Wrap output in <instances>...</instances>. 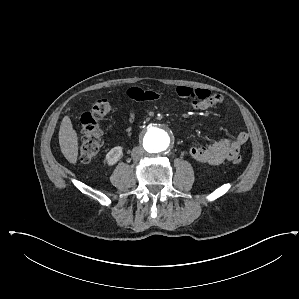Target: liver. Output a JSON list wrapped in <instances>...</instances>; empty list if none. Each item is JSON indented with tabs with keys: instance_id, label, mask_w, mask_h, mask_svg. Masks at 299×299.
I'll list each match as a JSON object with an SVG mask.
<instances>
[{
	"instance_id": "6515ba94",
	"label": "liver",
	"mask_w": 299,
	"mask_h": 299,
	"mask_svg": "<svg viewBox=\"0 0 299 299\" xmlns=\"http://www.w3.org/2000/svg\"><path fill=\"white\" fill-rule=\"evenodd\" d=\"M59 144L64 157L76 164L78 157V136L69 116H64L59 129Z\"/></svg>"
}]
</instances>
